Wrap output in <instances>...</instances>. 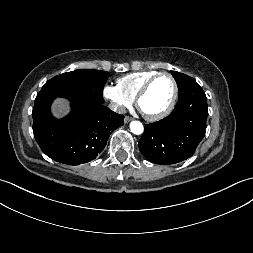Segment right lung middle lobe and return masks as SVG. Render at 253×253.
Returning <instances> with one entry per match:
<instances>
[{
    "instance_id": "obj_1",
    "label": "right lung middle lobe",
    "mask_w": 253,
    "mask_h": 253,
    "mask_svg": "<svg viewBox=\"0 0 253 253\" xmlns=\"http://www.w3.org/2000/svg\"><path fill=\"white\" fill-rule=\"evenodd\" d=\"M109 76L105 71L78 69L55 76L44 84L42 90L74 93L104 102L102 91Z\"/></svg>"
}]
</instances>
